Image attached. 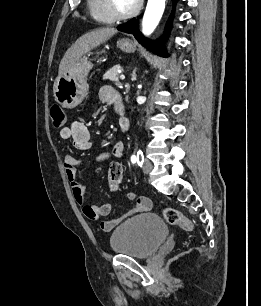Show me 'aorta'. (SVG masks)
Returning a JSON list of instances; mask_svg holds the SVG:
<instances>
[{"label": "aorta", "mask_w": 261, "mask_h": 306, "mask_svg": "<svg viewBox=\"0 0 261 306\" xmlns=\"http://www.w3.org/2000/svg\"><path fill=\"white\" fill-rule=\"evenodd\" d=\"M166 0H148L147 7L142 20V32L149 36L163 15Z\"/></svg>", "instance_id": "aorta-1"}]
</instances>
